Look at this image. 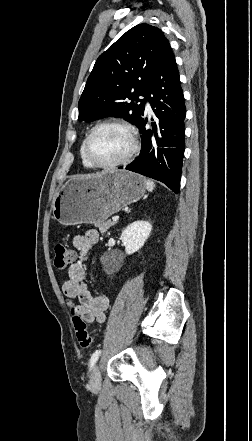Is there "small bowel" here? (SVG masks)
<instances>
[{
    "label": "small bowel",
    "mask_w": 252,
    "mask_h": 441,
    "mask_svg": "<svg viewBox=\"0 0 252 441\" xmlns=\"http://www.w3.org/2000/svg\"><path fill=\"white\" fill-rule=\"evenodd\" d=\"M98 238L99 234L95 229H88L73 238V246L78 255L73 253L76 261L70 265L62 284V292L69 305L72 309L76 307L82 318L90 324L104 322L105 312L109 307V299L102 293H92L85 282L84 259ZM74 300H78V303H74Z\"/></svg>",
    "instance_id": "small-bowel-1"
}]
</instances>
